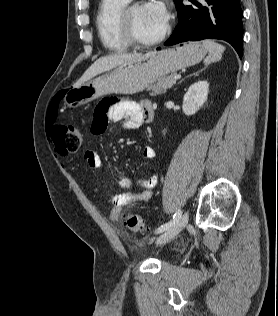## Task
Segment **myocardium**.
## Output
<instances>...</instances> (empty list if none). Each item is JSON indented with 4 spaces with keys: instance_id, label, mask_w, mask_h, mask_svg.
I'll return each mask as SVG.
<instances>
[{
    "instance_id": "myocardium-1",
    "label": "myocardium",
    "mask_w": 278,
    "mask_h": 316,
    "mask_svg": "<svg viewBox=\"0 0 278 316\" xmlns=\"http://www.w3.org/2000/svg\"><path fill=\"white\" fill-rule=\"evenodd\" d=\"M141 4L142 3H138V4L127 7L122 13L121 23H122V30H123L124 36L130 45L134 47H138V48H147V47H152L161 43L169 35L171 27L169 24H166L165 29L162 31V33L152 40L145 41V40L140 39L137 36L134 29L133 20H132V10L136 6L141 5Z\"/></svg>"
}]
</instances>
